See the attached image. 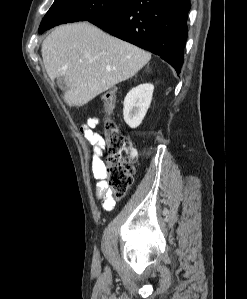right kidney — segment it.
<instances>
[{"label": "right kidney", "mask_w": 247, "mask_h": 299, "mask_svg": "<svg viewBox=\"0 0 247 299\" xmlns=\"http://www.w3.org/2000/svg\"><path fill=\"white\" fill-rule=\"evenodd\" d=\"M154 86L141 84L129 91L124 99L123 116L130 128H137L151 104Z\"/></svg>", "instance_id": "right-kidney-1"}]
</instances>
